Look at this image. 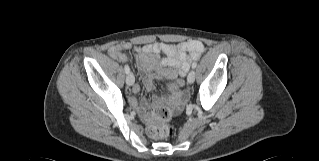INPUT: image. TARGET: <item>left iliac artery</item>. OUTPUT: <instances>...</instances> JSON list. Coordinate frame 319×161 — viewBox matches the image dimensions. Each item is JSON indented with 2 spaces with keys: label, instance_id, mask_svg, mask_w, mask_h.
I'll return each instance as SVG.
<instances>
[{
  "label": "left iliac artery",
  "instance_id": "left-iliac-artery-1",
  "mask_svg": "<svg viewBox=\"0 0 319 161\" xmlns=\"http://www.w3.org/2000/svg\"><path fill=\"white\" fill-rule=\"evenodd\" d=\"M196 66H197V63H196V62H193V63H192V68L194 69V68H196Z\"/></svg>",
  "mask_w": 319,
  "mask_h": 161
}]
</instances>
